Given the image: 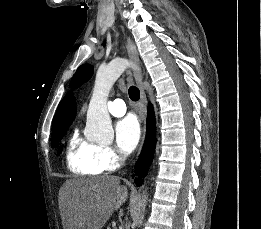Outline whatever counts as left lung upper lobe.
Returning <instances> with one entry per match:
<instances>
[{"label": "left lung upper lobe", "instance_id": "left-lung-upper-lobe-1", "mask_svg": "<svg viewBox=\"0 0 261 229\" xmlns=\"http://www.w3.org/2000/svg\"><path fill=\"white\" fill-rule=\"evenodd\" d=\"M93 75V67L89 64L81 65L74 74L70 86L77 88L89 80Z\"/></svg>", "mask_w": 261, "mask_h": 229}]
</instances>
